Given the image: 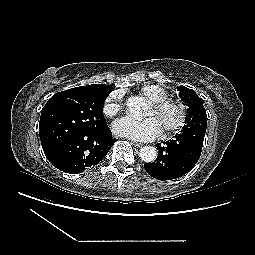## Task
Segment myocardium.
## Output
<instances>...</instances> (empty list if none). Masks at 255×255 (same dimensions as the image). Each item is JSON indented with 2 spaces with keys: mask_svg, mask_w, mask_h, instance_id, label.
Returning a JSON list of instances; mask_svg holds the SVG:
<instances>
[{
  "mask_svg": "<svg viewBox=\"0 0 255 255\" xmlns=\"http://www.w3.org/2000/svg\"><path fill=\"white\" fill-rule=\"evenodd\" d=\"M157 115L163 116L167 111L172 110L177 114L175 121L166 123L163 127L165 136L172 135L182 130L188 122L189 112L187 106L176 99L166 98L158 102H152Z\"/></svg>",
  "mask_w": 255,
  "mask_h": 255,
  "instance_id": "obj_1",
  "label": "myocardium"
}]
</instances>
